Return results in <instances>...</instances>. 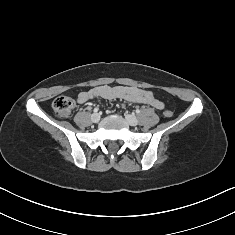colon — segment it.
I'll return each mask as SVG.
<instances>
[{
  "instance_id": "colon-1",
  "label": "colon",
  "mask_w": 235,
  "mask_h": 235,
  "mask_svg": "<svg viewBox=\"0 0 235 235\" xmlns=\"http://www.w3.org/2000/svg\"><path fill=\"white\" fill-rule=\"evenodd\" d=\"M52 107L57 116L64 118L71 113L74 107V101L67 96H58L54 99ZM164 115L166 117H171L173 112L171 110H166Z\"/></svg>"
}]
</instances>
